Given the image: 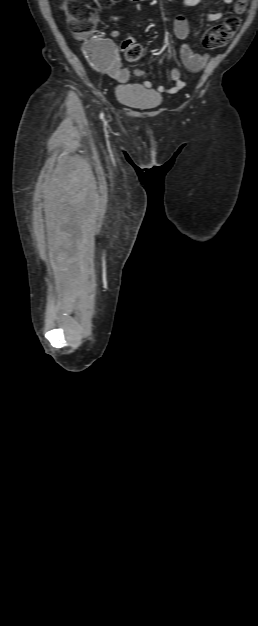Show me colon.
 <instances>
[{"label": "colon", "instance_id": "colon-1", "mask_svg": "<svg viewBox=\"0 0 258 626\" xmlns=\"http://www.w3.org/2000/svg\"><path fill=\"white\" fill-rule=\"evenodd\" d=\"M119 0H63L66 21L71 32L78 39L85 40L93 32L96 22L95 11L98 7H107ZM249 0H236L235 14L223 23L208 29L203 37L202 44L206 48H217L226 45L240 25L239 15L245 10ZM126 58L129 61H139L144 56V48L132 38L122 43ZM89 54L94 60L99 59L98 51L90 47Z\"/></svg>", "mask_w": 258, "mask_h": 626}]
</instances>
